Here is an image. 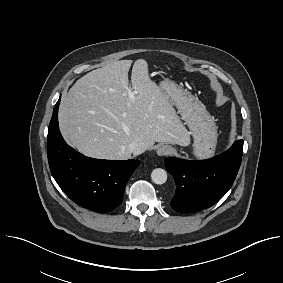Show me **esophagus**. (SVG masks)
<instances>
[{
    "mask_svg": "<svg viewBox=\"0 0 283 283\" xmlns=\"http://www.w3.org/2000/svg\"><path fill=\"white\" fill-rule=\"evenodd\" d=\"M172 152V147L168 145H162L157 149V154L159 156H166L169 155Z\"/></svg>",
    "mask_w": 283,
    "mask_h": 283,
    "instance_id": "esophagus-1",
    "label": "esophagus"
}]
</instances>
